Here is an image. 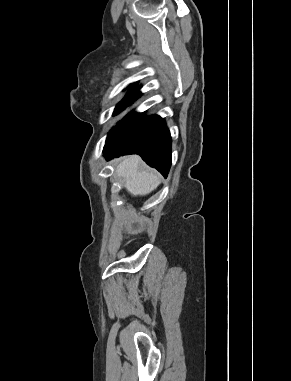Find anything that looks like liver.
Here are the masks:
<instances>
[{"instance_id":"obj_1","label":"liver","mask_w":291,"mask_h":381,"mask_svg":"<svg viewBox=\"0 0 291 381\" xmlns=\"http://www.w3.org/2000/svg\"><path fill=\"white\" fill-rule=\"evenodd\" d=\"M141 158L132 155L124 158L117 166V174L124 181V187L134 196L146 195L160 184L157 174L141 169Z\"/></svg>"}]
</instances>
